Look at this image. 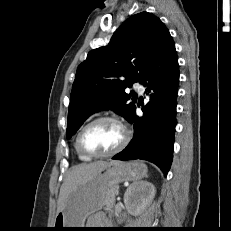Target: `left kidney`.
Masks as SVG:
<instances>
[{"label": "left kidney", "mask_w": 231, "mask_h": 231, "mask_svg": "<svg viewBox=\"0 0 231 231\" xmlns=\"http://www.w3.org/2000/svg\"><path fill=\"white\" fill-rule=\"evenodd\" d=\"M156 190L150 182H139L130 185L124 194V204L127 211L132 215L140 214L149 205Z\"/></svg>", "instance_id": "obj_1"}]
</instances>
